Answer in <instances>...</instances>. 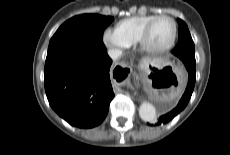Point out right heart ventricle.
<instances>
[{
  "label": "right heart ventricle",
  "mask_w": 230,
  "mask_h": 155,
  "mask_svg": "<svg viewBox=\"0 0 230 155\" xmlns=\"http://www.w3.org/2000/svg\"><path fill=\"white\" fill-rule=\"evenodd\" d=\"M157 15H138L125 18L115 26V32L128 44L138 42L140 34L146 24Z\"/></svg>",
  "instance_id": "e07e8e85"
}]
</instances>
